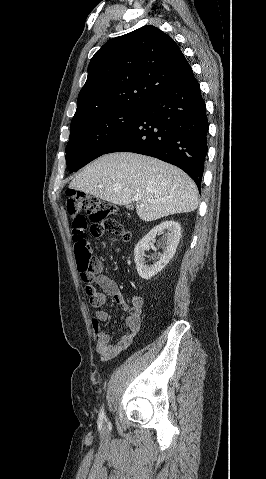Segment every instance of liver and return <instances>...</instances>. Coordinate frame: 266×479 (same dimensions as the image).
Instances as JSON below:
<instances>
[{"instance_id":"obj_1","label":"liver","mask_w":266,"mask_h":479,"mask_svg":"<svg viewBox=\"0 0 266 479\" xmlns=\"http://www.w3.org/2000/svg\"><path fill=\"white\" fill-rule=\"evenodd\" d=\"M69 188L117 205H136L139 218L149 222L198 207V190L179 168L156 158L130 152L103 155L87 165Z\"/></svg>"}]
</instances>
